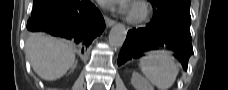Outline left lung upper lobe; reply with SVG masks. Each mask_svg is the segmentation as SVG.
<instances>
[{
  "mask_svg": "<svg viewBox=\"0 0 228 90\" xmlns=\"http://www.w3.org/2000/svg\"><path fill=\"white\" fill-rule=\"evenodd\" d=\"M153 8L162 9L169 13L189 12L190 0H149Z\"/></svg>",
  "mask_w": 228,
  "mask_h": 90,
  "instance_id": "left-lung-upper-lobe-1",
  "label": "left lung upper lobe"
}]
</instances>
